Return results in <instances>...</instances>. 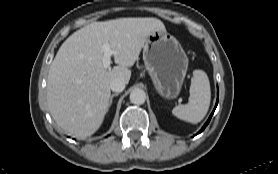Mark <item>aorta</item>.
I'll return each instance as SVG.
<instances>
[{
    "mask_svg": "<svg viewBox=\"0 0 278 174\" xmlns=\"http://www.w3.org/2000/svg\"><path fill=\"white\" fill-rule=\"evenodd\" d=\"M145 100L146 93L142 89L137 88L130 93V101L133 104L142 105L145 102Z\"/></svg>",
    "mask_w": 278,
    "mask_h": 174,
    "instance_id": "1",
    "label": "aorta"
}]
</instances>
